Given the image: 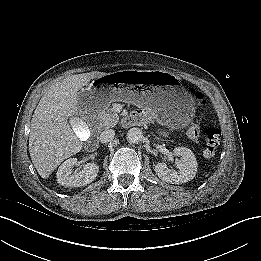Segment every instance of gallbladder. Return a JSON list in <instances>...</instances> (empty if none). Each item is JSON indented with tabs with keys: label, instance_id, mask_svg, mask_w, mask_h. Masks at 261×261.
Returning a JSON list of instances; mask_svg holds the SVG:
<instances>
[{
	"label": "gallbladder",
	"instance_id": "1",
	"mask_svg": "<svg viewBox=\"0 0 261 261\" xmlns=\"http://www.w3.org/2000/svg\"><path fill=\"white\" fill-rule=\"evenodd\" d=\"M69 124L79 141L86 142L89 140L91 132L82 118L73 116L70 118Z\"/></svg>",
	"mask_w": 261,
	"mask_h": 261
}]
</instances>
